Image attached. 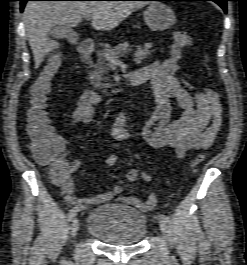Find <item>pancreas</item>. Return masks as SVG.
I'll return each mask as SVG.
<instances>
[{
  "instance_id": "obj_1",
  "label": "pancreas",
  "mask_w": 247,
  "mask_h": 265,
  "mask_svg": "<svg viewBox=\"0 0 247 265\" xmlns=\"http://www.w3.org/2000/svg\"><path fill=\"white\" fill-rule=\"evenodd\" d=\"M128 48L129 44L124 42L114 48L108 47L97 52V63L92 66L94 70L90 73V79L93 86L97 89H102L104 94H109V89L111 88L108 77V67L111 63L110 57H120ZM151 52L150 48L138 47L137 51L133 54V61L140 64Z\"/></svg>"
}]
</instances>
